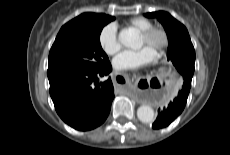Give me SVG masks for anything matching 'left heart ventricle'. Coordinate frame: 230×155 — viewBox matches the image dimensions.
<instances>
[{
	"mask_svg": "<svg viewBox=\"0 0 230 155\" xmlns=\"http://www.w3.org/2000/svg\"><path fill=\"white\" fill-rule=\"evenodd\" d=\"M161 43V37L159 35H155L152 37L150 41H146L143 37L140 36L139 39V47L147 46L149 47L154 53H156L159 45Z\"/></svg>",
	"mask_w": 230,
	"mask_h": 155,
	"instance_id": "1",
	"label": "left heart ventricle"
}]
</instances>
